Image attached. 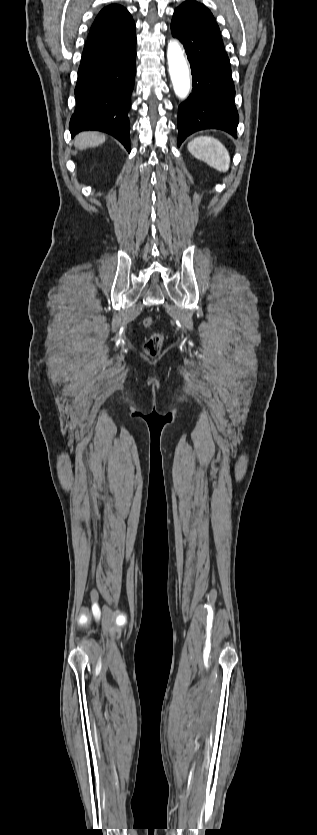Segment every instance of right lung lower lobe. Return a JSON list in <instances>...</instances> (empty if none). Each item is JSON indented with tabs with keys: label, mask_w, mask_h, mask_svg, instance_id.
Returning a JSON list of instances; mask_svg holds the SVG:
<instances>
[{
	"label": "right lung lower lobe",
	"mask_w": 317,
	"mask_h": 835,
	"mask_svg": "<svg viewBox=\"0 0 317 835\" xmlns=\"http://www.w3.org/2000/svg\"><path fill=\"white\" fill-rule=\"evenodd\" d=\"M135 59V33L115 44L97 37L87 40L75 88L76 110L69 124L72 138L81 131L98 130L114 136L130 152L128 112Z\"/></svg>",
	"instance_id": "98d812e1"
}]
</instances>
